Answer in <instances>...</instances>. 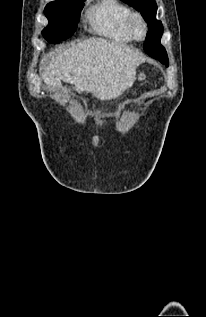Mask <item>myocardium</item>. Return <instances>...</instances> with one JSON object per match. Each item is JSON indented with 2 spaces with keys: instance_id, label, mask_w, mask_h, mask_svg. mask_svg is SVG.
<instances>
[{
  "instance_id": "myocardium-1",
  "label": "myocardium",
  "mask_w": 206,
  "mask_h": 317,
  "mask_svg": "<svg viewBox=\"0 0 206 317\" xmlns=\"http://www.w3.org/2000/svg\"><path fill=\"white\" fill-rule=\"evenodd\" d=\"M139 28L141 30H139ZM128 30L130 35L135 40H143L145 39L147 32H148V26L145 18L143 15L139 12H133L128 21Z\"/></svg>"
}]
</instances>
